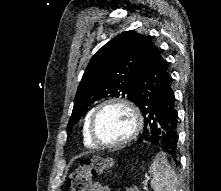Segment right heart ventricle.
<instances>
[{
  "label": "right heart ventricle",
  "instance_id": "right-heart-ventricle-1",
  "mask_svg": "<svg viewBox=\"0 0 221 191\" xmlns=\"http://www.w3.org/2000/svg\"><path fill=\"white\" fill-rule=\"evenodd\" d=\"M92 112H93V109H91L86 114L83 120V125H82V140H83L84 145L88 148L97 147V145L91 140L90 135H89V121H90Z\"/></svg>",
  "mask_w": 221,
  "mask_h": 191
}]
</instances>
